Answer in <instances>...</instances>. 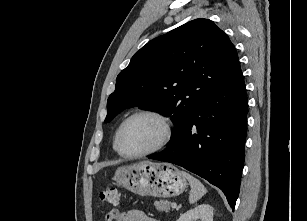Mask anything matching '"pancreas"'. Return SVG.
Segmentation results:
<instances>
[{"label":"pancreas","instance_id":"obj_1","mask_svg":"<svg viewBox=\"0 0 307 221\" xmlns=\"http://www.w3.org/2000/svg\"><path fill=\"white\" fill-rule=\"evenodd\" d=\"M170 202H168V201H163V200H161V201H157V202H155V207H156V209L158 210V211H161V212H163V211H165V212H169L170 211Z\"/></svg>","mask_w":307,"mask_h":221}]
</instances>
